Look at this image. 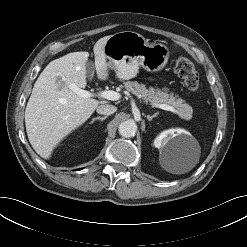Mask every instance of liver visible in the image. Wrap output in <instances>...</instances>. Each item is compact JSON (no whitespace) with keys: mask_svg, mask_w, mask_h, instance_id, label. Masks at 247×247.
<instances>
[{"mask_svg":"<svg viewBox=\"0 0 247 247\" xmlns=\"http://www.w3.org/2000/svg\"><path fill=\"white\" fill-rule=\"evenodd\" d=\"M111 36L100 38L94 45L97 76L107 79L108 64L104 47ZM88 52H72L51 61L37 78L25 109L29 142L38 155L50 158L54 148L71 131L85 123L99 102L78 96L69 88H85Z\"/></svg>","mask_w":247,"mask_h":247,"instance_id":"1","label":"liver"}]
</instances>
